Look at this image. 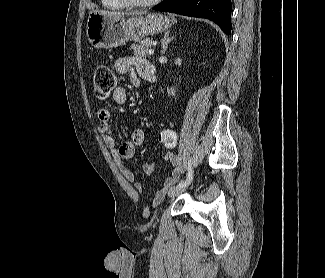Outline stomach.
<instances>
[{"mask_svg": "<svg viewBox=\"0 0 325 278\" xmlns=\"http://www.w3.org/2000/svg\"><path fill=\"white\" fill-rule=\"evenodd\" d=\"M175 22L173 17L158 13L124 19L92 11L87 20L86 34L89 43L97 49L116 48L130 39L140 41L147 35L166 31Z\"/></svg>", "mask_w": 325, "mask_h": 278, "instance_id": "1", "label": "stomach"}]
</instances>
